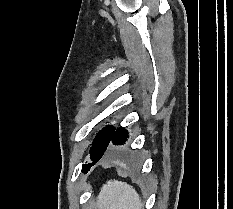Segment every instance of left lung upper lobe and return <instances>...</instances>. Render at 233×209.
<instances>
[{
  "label": "left lung upper lobe",
  "instance_id": "left-lung-upper-lobe-1",
  "mask_svg": "<svg viewBox=\"0 0 233 209\" xmlns=\"http://www.w3.org/2000/svg\"><path fill=\"white\" fill-rule=\"evenodd\" d=\"M114 128H104L101 130L97 136L95 137V140L92 144L91 150H90V156L91 158H101L106 151L109 142L111 140V137L114 133Z\"/></svg>",
  "mask_w": 233,
  "mask_h": 209
}]
</instances>
